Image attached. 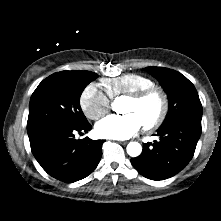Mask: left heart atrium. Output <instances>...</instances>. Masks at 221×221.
I'll return each mask as SVG.
<instances>
[{
    "label": "left heart atrium",
    "mask_w": 221,
    "mask_h": 221,
    "mask_svg": "<svg viewBox=\"0 0 221 221\" xmlns=\"http://www.w3.org/2000/svg\"><path fill=\"white\" fill-rule=\"evenodd\" d=\"M143 123L134 113L109 115L99 121L95 130L98 136L110 139H128L136 134Z\"/></svg>",
    "instance_id": "39dd6f15"
}]
</instances>
